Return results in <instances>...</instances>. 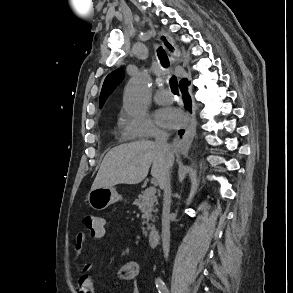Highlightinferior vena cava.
<instances>
[{
    "label": "inferior vena cava",
    "instance_id": "1",
    "mask_svg": "<svg viewBox=\"0 0 293 293\" xmlns=\"http://www.w3.org/2000/svg\"><path fill=\"white\" fill-rule=\"evenodd\" d=\"M168 135L166 133H157L155 136V144L158 149L165 154L168 160L166 173L160 182V188L164 191L163 214H162V246L164 257L167 259L170 246V205H171V180L170 167L173 158L170 147L167 143Z\"/></svg>",
    "mask_w": 293,
    "mask_h": 293
}]
</instances>
